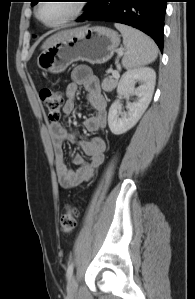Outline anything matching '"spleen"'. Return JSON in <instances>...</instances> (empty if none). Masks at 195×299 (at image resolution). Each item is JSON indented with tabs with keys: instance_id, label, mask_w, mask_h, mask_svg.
I'll return each instance as SVG.
<instances>
[{
	"instance_id": "3e777b00",
	"label": "spleen",
	"mask_w": 195,
	"mask_h": 299,
	"mask_svg": "<svg viewBox=\"0 0 195 299\" xmlns=\"http://www.w3.org/2000/svg\"><path fill=\"white\" fill-rule=\"evenodd\" d=\"M114 26L123 36L125 53L122 65L126 69H133L152 63L158 55V48L154 41L130 26L115 23Z\"/></svg>"
}]
</instances>
